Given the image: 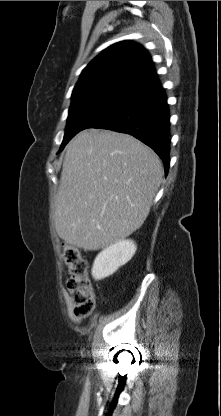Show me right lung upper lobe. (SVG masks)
<instances>
[{"instance_id":"1","label":"right lung upper lobe","mask_w":221,"mask_h":416,"mask_svg":"<svg viewBox=\"0 0 221 416\" xmlns=\"http://www.w3.org/2000/svg\"><path fill=\"white\" fill-rule=\"evenodd\" d=\"M159 84L151 57L141 45L122 41L105 49L82 71L72 99L94 93H125Z\"/></svg>"}]
</instances>
